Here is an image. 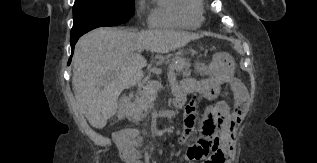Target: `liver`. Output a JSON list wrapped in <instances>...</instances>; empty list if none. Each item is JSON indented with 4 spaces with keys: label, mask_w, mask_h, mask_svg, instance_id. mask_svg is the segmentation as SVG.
<instances>
[{
    "label": "liver",
    "mask_w": 317,
    "mask_h": 163,
    "mask_svg": "<svg viewBox=\"0 0 317 163\" xmlns=\"http://www.w3.org/2000/svg\"><path fill=\"white\" fill-rule=\"evenodd\" d=\"M201 36L186 31L118 30L100 27L83 35L73 56L72 86L81 113L94 128H104L118 108L122 91L139 82L146 49L168 53Z\"/></svg>",
    "instance_id": "6515ba94"
}]
</instances>
